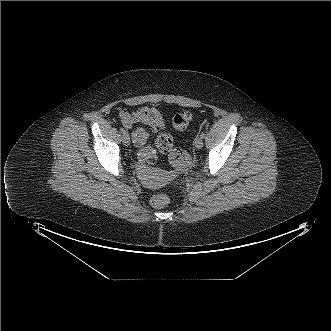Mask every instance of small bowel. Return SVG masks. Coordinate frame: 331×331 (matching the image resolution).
I'll use <instances>...</instances> for the list:
<instances>
[{"label": "small bowel", "mask_w": 331, "mask_h": 331, "mask_svg": "<svg viewBox=\"0 0 331 331\" xmlns=\"http://www.w3.org/2000/svg\"><path fill=\"white\" fill-rule=\"evenodd\" d=\"M147 107H141L134 112H129L125 109H122L119 112V118L124 127L128 130H131L134 125L143 123L142 115ZM140 129H135L132 132L134 144L140 148L139 151V160L143 165L150 164L154 161L155 155L153 149L147 144L148 135L147 133L141 134Z\"/></svg>", "instance_id": "obj_1"}]
</instances>
